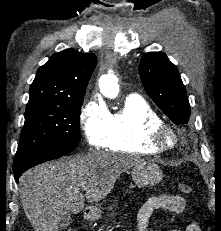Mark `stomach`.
<instances>
[{
    "mask_svg": "<svg viewBox=\"0 0 221 231\" xmlns=\"http://www.w3.org/2000/svg\"><path fill=\"white\" fill-rule=\"evenodd\" d=\"M132 179L138 186H153L159 183L163 178V172L160 167L149 161H142L132 169ZM102 210L93 208L89 214V218L96 221L101 218Z\"/></svg>",
    "mask_w": 221,
    "mask_h": 231,
    "instance_id": "0dacf381",
    "label": "stomach"
}]
</instances>
